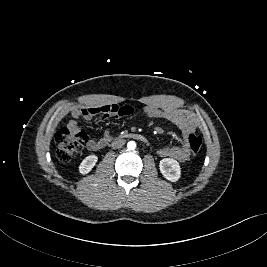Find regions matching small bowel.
<instances>
[{"instance_id":"small-bowel-1","label":"small bowel","mask_w":267,"mask_h":267,"mask_svg":"<svg viewBox=\"0 0 267 267\" xmlns=\"http://www.w3.org/2000/svg\"><path fill=\"white\" fill-rule=\"evenodd\" d=\"M133 108L131 106L118 105H103L95 107H85L81 109H74L72 111V120L68 126L73 130L80 129L78 121L91 120L96 115H103L105 118L109 116H128L132 114ZM144 113L149 118L164 119L174 124L181 132V140L178 144L173 146L163 147L158 151L161 157H171L179 161H185L189 158L190 153L188 149V136L197 130V122L195 119L184 112L175 109H162L155 105H147L144 108ZM111 141V135L106 130L98 139H90L87 142V148L90 151H97L104 148Z\"/></svg>"}]
</instances>
